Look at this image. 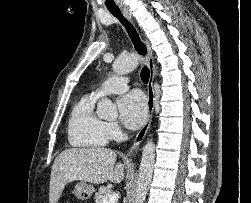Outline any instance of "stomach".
I'll return each instance as SVG.
<instances>
[{"label":"stomach","mask_w":251,"mask_h":203,"mask_svg":"<svg viewBox=\"0 0 251 203\" xmlns=\"http://www.w3.org/2000/svg\"><path fill=\"white\" fill-rule=\"evenodd\" d=\"M93 192V186L84 181L78 182L74 189V194L80 200H88Z\"/></svg>","instance_id":"obj_1"}]
</instances>
